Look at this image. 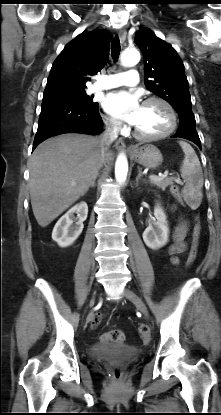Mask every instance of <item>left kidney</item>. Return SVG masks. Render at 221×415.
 <instances>
[{"label":"left kidney","instance_id":"left-kidney-1","mask_svg":"<svg viewBox=\"0 0 221 415\" xmlns=\"http://www.w3.org/2000/svg\"><path fill=\"white\" fill-rule=\"evenodd\" d=\"M154 216L156 221L149 224L142 236L145 244L149 248L157 250L167 244L169 228L162 207L155 206Z\"/></svg>","mask_w":221,"mask_h":415}]
</instances>
